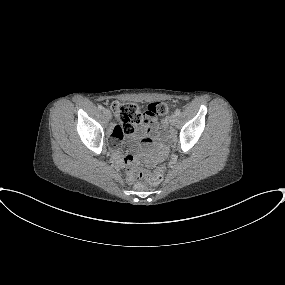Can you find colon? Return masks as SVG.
Wrapping results in <instances>:
<instances>
[{"mask_svg":"<svg viewBox=\"0 0 285 285\" xmlns=\"http://www.w3.org/2000/svg\"><path fill=\"white\" fill-rule=\"evenodd\" d=\"M111 107L116 116L117 127L127 134L133 132L136 126L147 120L163 119L168 113V107L163 102H154L144 108L133 102H115ZM123 161L126 165H131L133 156H125ZM164 173V166H158L152 170L140 172L137 177L144 179L149 184L158 185L162 182ZM137 186H139V182Z\"/></svg>","mask_w":285,"mask_h":285,"instance_id":"obj_1","label":"colon"}]
</instances>
